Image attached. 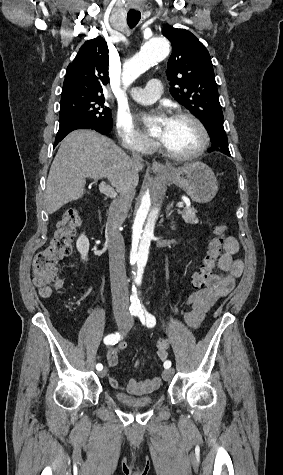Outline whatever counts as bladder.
Wrapping results in <instances>:
<instances>
[{"label": "bladder", "mask_w": 283, "mask_h": 475, "mask_svg": "<svg viewBox=\"0 0 283 475\" xmlns=\"http://www.w3.org/2000/svg\"><path fill=\"white\" fill-rule=\"evenodd\" d=\"M112 397L116 402L121 403L125 408H148L155 404L156 396L134 397L126 392L115 391Z\"/></svg>", "instance_id": "obj_1"}]
</instances>
